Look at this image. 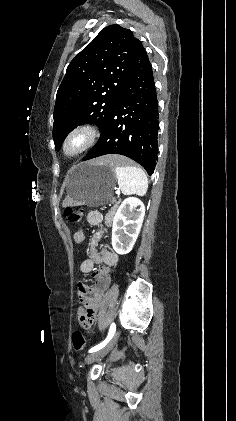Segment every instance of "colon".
<instances>
[{"instance_id": "obj_1", "label": "colon", "mask_w": 236, "mask_h": 421, "mask_svg": "<svg viewBox=\"0 0 236 421\" xmlns=\"http://www.w3.org/2000/svg\"><path fill=\"white\" fill-rule=\"evenodd\" d=\"M83 214H84V211H83V208L81 207H68L65 210L66 217L72 223L80 222L83 218ZM80 321L81 323L85 322L84 318L81 319ZM72 344L76 350H83L87 346L85 337L79 331H75L72 334Z\"/></svg>"}]
</instances>
